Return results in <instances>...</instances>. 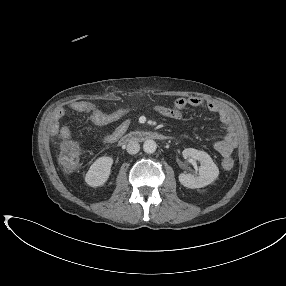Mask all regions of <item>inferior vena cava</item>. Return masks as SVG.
Listing matches in <instances>:
<instances>
[{
    "mask_svg": "<svg viewBox=\"0 0 286 286\" xmlns=\"http://www.w3.org/2000/svg\"><path fill=\"white\" fill-rule=\"evenodd\" d=\"M126 150L129 154H136L140 150V145L137 141L131 140L128 142Z\"/></svg>",
    "mask_w": 286,
    "mask_h": 286,
    "instance_id": "602c4592",
    "label": "inferior vena cava"
}]
</instances>
